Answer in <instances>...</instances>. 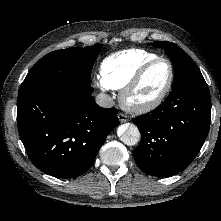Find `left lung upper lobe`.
<instances>
[{"mask_svg": "<svg viewBox=\"0 0 221 221\" xmlns=\"http://www.w3.org/2000/svg\"><path fill=\"white\" fill-rule=\"evenodd\" d=\"M154 47L163 48L175 69L172 90L185 85L206 84L200 70L191 57L174 43L155 41Z\"/></svg>", "mask_w": 221, "mask_h": 221, "instance_id": "1", "label": "left lung upper lobe"}]
</instances>
